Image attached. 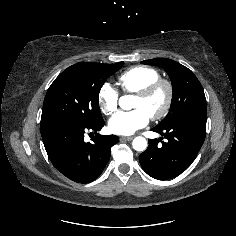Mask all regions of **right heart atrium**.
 <instances>
[{
	"label": "right heart atrium",
	"instance_id": "d8ad5b80",
	"mask_svg": "<svg viewBox=\"0 0 236 236\" xmlns=\"http://www.w3.org/2000/svg\"><path fill=\"white\" fill-rule=\"evenodd\" d=\"M119 99V93L114 86L108 82L101 85L97 101L104 115H112L118 109Z\"/></svg>",
	"mask_w": 236,
	"mask_h": 236
}]
</instances>
